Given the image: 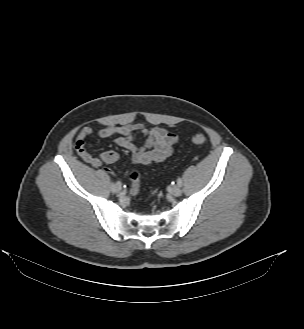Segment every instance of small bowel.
Here are the masks:
<instances>
[{
	"label": "small bowel",
	"mask_w": 304,
	"mask_h": 329,
	"mask_svg": "<svg viewBox=\"0 0 304 329\" xmlns=\"http://www.w3.org/2000/svg\"><path fill=\"white\" fill-rule=\"evenodd\" d=\"M93 133L92 128L83 127L75 140V149L78 155L86 162L95 167L103 163H114L119 159L115 151H105L94 157L86 150V139ZM135 133L143 134L147 143L144 147H139L134 142ZM98 136L102 139H110L118 146L131 153V161L134 164L149 165L159 163L169 157L173 151L178 138L175 134L162 127H146L142 123L127 124L122 126H106L98 131Z\"/></svg>",
	"instance_id": "obj_1"
}]
</instances>
